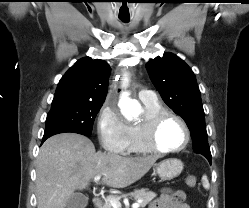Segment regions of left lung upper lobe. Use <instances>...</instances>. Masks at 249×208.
Returning a JSON list of instances; mask_svg holds the SVG:
<instances>
[{"label": "left lung upper lobe", "instance_id": "left-lung-upper-lobe-1", "mask_svg": "<svg viewBox=\"0 0 249 208\" xmlns=\"http://www.w3.org/2000/svg\"><path fill=\"white\" fill-rule=\"evenodd\" d=\"M146 68L163 101L186 122L193 150L211 156L201 95L193 71L172 53L149 60Z\"/></svg>", "mask_w": 249, "mask_h": 208}]
</instances>
